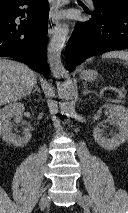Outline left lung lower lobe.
Wrapping results in <instances>:
<instances>
[{"mask_svg": "<svg viewBox=\"0 0 128 213\" xmlns=\"http://www.w3.org/2000/svg\"><path fill=\"white\" fill-rule=\"evenodd\" d=\"M91 20L76 25L66 45V63L69 71L85 59L108 51L128 49V2L94 1Z\"/></svg>", "mask_w": 128, "mask_h": 213, "instance_id": "obj_1", "label": "left lung lower lobe"}]
</instances>
